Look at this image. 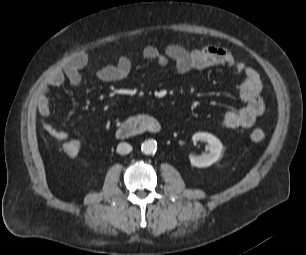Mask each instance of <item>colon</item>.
Listing matches in <instances>:
<instances>
[{
    "mask_svg": "<svg viewBox=\"0 0 306 255\" xmlns=\"http://www.w3.org/2000/svg\"><path fill=\"white\" fill-rule=\"evenodd\" d=\"M265 138V132L262 128H255L251 132V139L253 141H262ZM81 144L78 140H70L62 145L63 152L69 157L78 155Z\"/></svg>",
    "mask_w": 306,
    "mask_h": 255,
    "instance_id": "5ec220e1",
    "label": "colon"
}]
</instances>
